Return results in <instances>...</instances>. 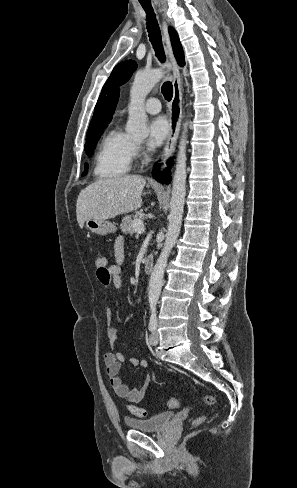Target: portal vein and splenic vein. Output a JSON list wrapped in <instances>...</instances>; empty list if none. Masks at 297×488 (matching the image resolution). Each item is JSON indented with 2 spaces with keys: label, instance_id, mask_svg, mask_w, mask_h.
Masks as SVG:
<instances>
[{
  "label": "portal vein and splenic vein",
  "instance_id": "1",
  "mask_svg": "<svg viewBox=\"0 0 297 488\" xmlns=\"http://www.w3.org/2000/svg\"><path fill=\"white\" fill-rule=\"evenodd\" d=\"M133 228H134L135 232L138 235L141 234V233H143L145 231V227H144L143 221L140 220V219H137V220L134 221Z\"/></svg>",
  "mask_w": 297,
  "mask_h": 488
}]
</instances>
